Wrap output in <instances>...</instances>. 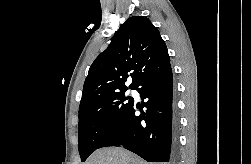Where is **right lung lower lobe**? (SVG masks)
Masks as SVG:
<instances>
[{"label":"right lung lower lobe","instance_id":"98d812e1","mask_svg":"<svg viewBox=\"0 0 251 164\" xmlns=\"http://www.w3.org/2000/svg\"><path fill=\"white\" fill-rule=\"evenodd\" d=\"M136 90L146 112L135 115L136 106L101 142L99 148L123 146L148 162L177 161V119L173 112V78L170 63L144 77Z\"/></svg>","mask_w":251,"mask_h":164}]
</instances>
